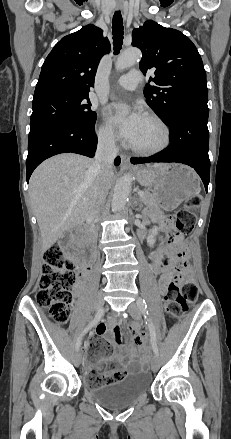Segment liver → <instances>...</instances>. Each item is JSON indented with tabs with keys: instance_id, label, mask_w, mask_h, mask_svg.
Returning a JSON list of instances; mask_svg holds the SVG:
<instances>
[{
	"instance_id": "6515ba94",
	"label": "liver",
	"mask_w": 231,
	"mask_h": 439,
	"mask_svg": "<svg viewBox=\"0 0 231 439\" xmlns=\"http://www.w3.org/2000/svg\"><path fill=\"white\" fill-rule=\"evenodd\" d=\"M93 163V159L64 153L47 159L33 172L29 196L41 232L42 252L90 216L98 191ZM162 165L155 163L152 167ZM113 179L114 171L110 185Z\"/></svg>"
}]
</instances>
